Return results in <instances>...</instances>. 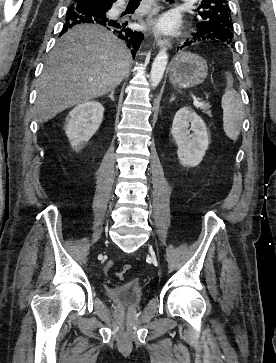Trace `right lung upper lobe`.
Here are the masks:
<instances>
[{
  "mask_svg": "<svg viewBox=\"0 0 276 363\" xmlns=\"http://www.w3.org/2000/svg\"><path fill=\"white\" fill-rule=\"evenodd\" d=\"M82 2H86V1H91V0H79ZM96 2H98L101 6H112V4L116 1V0H94Z\"/></svg>",
  "mask_w": 276,
  "mask_h": 363,
  "instance_id": "cb5924a9",
  "label": "right lung upper lobe"
}]
</instances>
